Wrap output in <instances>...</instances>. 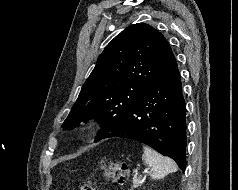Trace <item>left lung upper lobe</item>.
<instances>
[{
    "instance_id": "obj_1",
    "label": "left lung upper lobe",
    "mask_w": 238,
    "mask_h": 190,
    "mask_svg": "<svg viewBox=\"0 0 238 190\" xmlns=\"http://www.w3.org/2000/svg\"><path fill=\"white\" fill-rule=\"evenodd\" d=\"M165 37L144 23L127 27L103 50L62 127L101 122L99 141L120 122L154 76L174 59Z\"/></svg>"
}]
</instances>
